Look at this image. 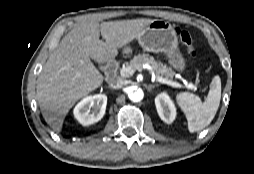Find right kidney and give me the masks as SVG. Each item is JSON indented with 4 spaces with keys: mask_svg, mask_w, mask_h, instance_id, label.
Listing matches in <instances>:
<instances>
[{
    "mask_svg": "<svg viewBox=\"0 0 254 174\" xmlns=\"http://www.w3.org/2000/svg\"><path fill=\"white\" fill-rule=\"evenodd\" d=\"M107 96L96 94L83 98L74 108V117L83 126L94 124L101 120L105 114Z\"/></svg>",
    "mask_w": 254,
    "mask_h": 174,
    "instance_id": "obj_1",
    "label": "right kidney"
}]
</instances>
